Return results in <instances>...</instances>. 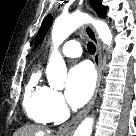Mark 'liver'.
I'll use <instances>...</instances> for the list:
<instances>
[{"label":"liver","mask_w":136,"mask_h":136,"mask_svg":"<svg viewBox=\"0 0 136 136\" xmlns=\"http://www.w3.org/2000/svg\"><path fill=\"white\" fill-rule=\"evenodd\" d=\"M50 130H45L37 125H25L18 129L14 136H49Z\"/></svg>","instance_id":"6515ba94"}]
</instances>
